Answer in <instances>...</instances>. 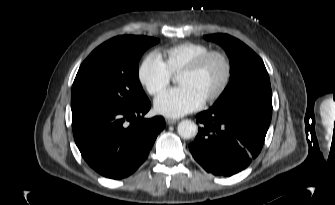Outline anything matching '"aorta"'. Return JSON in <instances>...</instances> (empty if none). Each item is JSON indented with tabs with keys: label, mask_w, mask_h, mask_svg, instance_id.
Wrapping results in <instances>:
<instances>
[{
	"label": "aorta",
	"mask_w": 335,
	"mask_h": 205,
	"mask_svg": "<svg viewBox=\"0 0 335 205\" xmlns=\"http://www.w3.org/2000/svg\"><path fill=\"white\" fill-rule=\"evenodd\" d=\"M198 127L191 120H182L177 127L178 134L184 139H191L197 135Z\"/></svg>",
	"instance_id": "obj_1"
}]
</instances>
